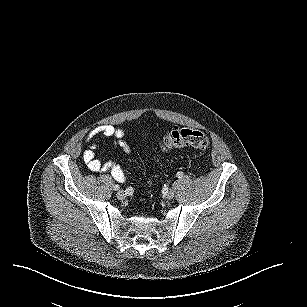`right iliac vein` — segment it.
<instances>
[{"label":"right iliac vein","instance_id":"63e3f726","mask_svg":"<svg viewBox=\"0 0 307 307\" xmlns=\"http://www.w3.org/2000/svg\"><path fill=\"white\" fill-rule=\"evenodd\" d=\"M116 197L119 199V200H123L125 198V194L123 191H118L116 193Z\"/></svg>","mask_w":307,"mask_h":307}]
</instances>
